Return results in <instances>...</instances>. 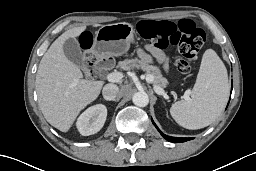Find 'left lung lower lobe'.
Instances as JSON below:
<instances>
[{
  "mask_svg": "<svg viewBox=\"0 0 256 171\" xmlns=\"http://www.w3.org/2000/svg\"><path fill=\"white\" fill-rule=\"evenodd\" d=\"M153 122V120H152ZM154 126L158 129V131L161 133V135L168 141L170 142H174V143H180V142H185V141H188V140H191V138H178V137H170L168 135H165L163 134L159 128L156 126V124L153 122Z\"/></svg>",
  "mask_w": 256,
  "mask_h": 171,
  "instance_id": "1",
  "label": "left lung lower lobe"
}]
</instances>
